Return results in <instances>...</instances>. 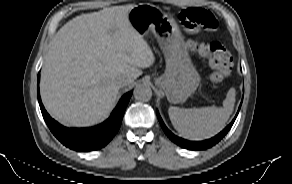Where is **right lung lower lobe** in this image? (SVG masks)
<instances>
[{
  "label": "right lung lower lobe",
  "mask_w": 292,
  "mask_h": 184,
  "mask_svg": "<svg viewBox=\"0 0 292 184\" xmlns=\"http://www.w3.org/2000/svg\"><path fill=\"white\" fill-rule=\"evenodd\" d=\"M37 81L38 101L43 118L49 129L63 145L80 152L98 150L112 140L120 128L125 108L127 107L132 95V92L125 94L119 101L109 119H107L104 123L92 128H66L52 119L44 109L39 94V75Z\"/></svg>",
  "instance_id": "obj_1"
}]
</instances>
